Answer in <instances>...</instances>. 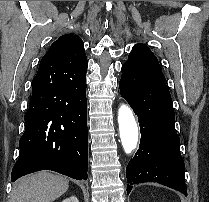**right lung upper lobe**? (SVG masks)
Returning a JSON list of instances; mask_svg holds the SVG:
<instances>
[{
	"label": "right lung upper lobe",
	"instance_id": "right-lung-upper-lobe-1",
	"mask_svg": "<svg viewBox=\"0 0 209 202\" xmlns=\"http://www.w3.org/2000/svg\"><path fill=\"white\" fill-rule=\"evenodd\" d=\"M44 58L55 59L56 72L80 80L86 77L88 61L81 38L74 34L60 36L49 48Z\"/></svg>",
	"mask_w": 209,
	"mask_h": 202
}]
</instances>
